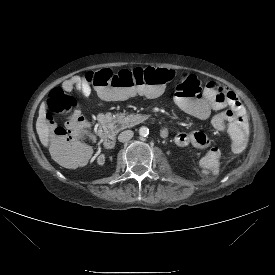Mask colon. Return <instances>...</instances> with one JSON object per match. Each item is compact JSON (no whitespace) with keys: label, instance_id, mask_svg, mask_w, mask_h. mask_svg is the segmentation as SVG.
<instances>
[{"label":"colon","instance_id":"5ec220e1","mask_svg":"<svg viewBox=\"0 0 275 275\" xmlns=\"http://www.w3.org/2000/svg\"><path fill=\"white\" fill-rule=\"evenodd\" d=\"M177 73L164 68H136L133 70H121L114 74L109 69L89 71L83 75V79L97 87L100 96L108 101L141 97H157L162 94L164 86L172 82ZM201 86L200 80L191 74H184L177 88H187L198 92ZM78 108L76 98L69 96L65 90L56 88L50 94L48 109L55 114H69ZM51 120L52 117L49 116ZM79 129L70 124L68 130L57 128L52 140V152L63 154L73 149L75 135Z\"/></svg>","mask_w":275,"mask_h":275}]
</instances>
